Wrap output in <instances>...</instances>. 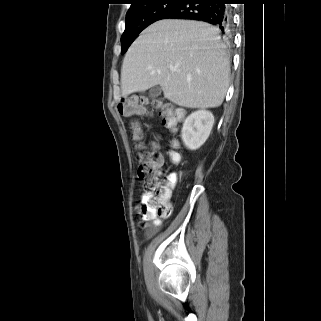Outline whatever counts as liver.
I'll use <instances>...</instances> for the list:
<instances>
[{
  "label": "liver",
  "mask_w": 321,
  "mask_h": 321,
  "mask_svg": "<svg viewBox=\"0 0 321 321\" xmlns=\"http://www.w3.org/2000/svg\"><path fill=\"white\" fill-rule=\"evenodd\" d=\"M230 65L217 28L165 19L147 27L128 49L121 70L122 96L159 85L186 108L219 107L229 86Z\"/></svg>",
  "instance_id": "1"
}]
</instances>
